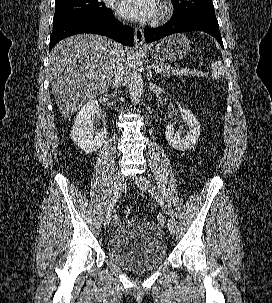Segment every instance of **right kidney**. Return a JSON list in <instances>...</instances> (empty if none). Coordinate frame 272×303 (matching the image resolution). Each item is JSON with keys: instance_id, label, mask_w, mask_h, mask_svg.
<instances>
[{"instance_id": "ca27d5eb", "label": "right kidney", "mask_w": 272, "mask_h": 303, "mask_svg": "<svg viewBox=\"0 0 272 303\" xmlns=\"http://www.w3.org/2000/svg\"><path fill=\"white\" fill-rule=\"evenodd\" d=\"M98 112V101H88L78 112L71 131L72 141L86 153H91L101 148L107 136L105 127L96 135L94 133L93 124Z\"/></svg>"}]
</instances>
